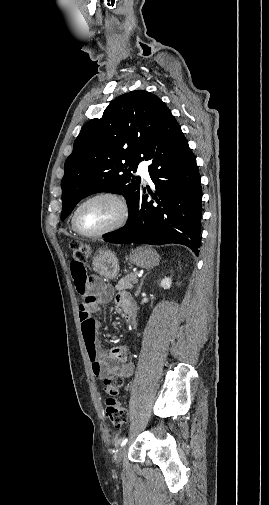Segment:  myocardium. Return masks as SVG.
<instances>
[{
	"instance_id": "myocardium-1",
	"label": "myocardium",
	"mask_w": 269,
	"mask_h": 505,
	"mask_svg": "<svg viewBox=\"0 0 269 505\" xmlns=\"http://www.w3.org/2000/svg\"><path fill=\"white\" fill-rule=\"evenodd\" d=\"M100 198H108V199L115 201L120 207V216L115 223H113L111 226H109L101 231L86 232V231L82 230L78 225V222H77L78 213L85 204H87L93 200L100 199ZM129 215H130V208H129L127 200L125 199V197L123 195H121L117 192H113V191H101V192L95 193V194L87 197L76 207V209L74 210V213L72 215L71 223H72L73 229L81 236L88 237V238H97V237H101V236L107 235L109 233H112V232L120 229L121 227H123L127 223L128 219H129Z\"/></svg>"
}]
</instances>
